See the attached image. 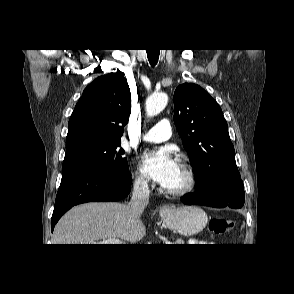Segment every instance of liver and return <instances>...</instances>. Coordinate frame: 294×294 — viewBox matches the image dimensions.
I'll list each match as a JSON object with an SVG mask.
<instances>
[{
    "mask_svg": "<svg viewBox=\"0 0 294 294\" xmlns=\"http://www.w3.org/2000/svg\"><path fill=\"white\" fill-rule=\"evenodd\" d=\"M146 234L143 222L123 203H85L73 207L57 223L53 244H98L106 238L131 243Z\"/></svg>",
    "mask_w": 294,
    "mask_h": 294,
    "instance_id": "obj_1",
    "label": "liver"
}]
</instances>
